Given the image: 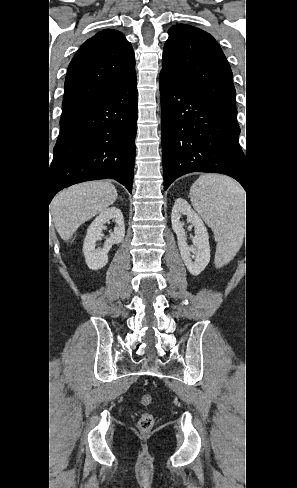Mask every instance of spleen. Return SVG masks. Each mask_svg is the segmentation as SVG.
Instances as JSON below:
<instances>
[{"instance_id": "3e777b00", "label": "spleen", "mask_w": 297, "mask_h": 488, "mask_svg": "<svg viewBox=\"0 0 297 488\" xmlns=\"http://www.w3.org/2000/svg\"><path fill=\"white\" fill-rule=\"evenodd\" d=\"M190 199L201 218L212 228L218 248L233 256L241 246L238 229L244 210V191L240 185L225 176L202 175L193 183Z\"/></svg>"}]
</instances>
